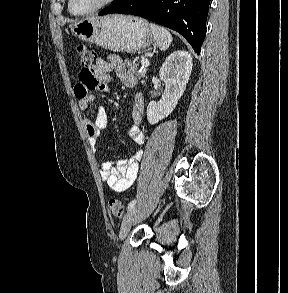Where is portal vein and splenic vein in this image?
Returning a JSON list of instances; mask_svg holds the SVG:
<instances>
[{"mask_svg":"<svg viewBox=\"0 0 288 293\" xmlns=\"http://www.w3.org/2000/svg\"><path fill=\"white\" fill-rule=\"evenodd\" d=\"M149 60L147 58H142L141 59V65L142 67H148L149 66Z\"/></svg>","mask_w":288,"mask_h":293,"instance_id":"portal-vein-and-splenic-vein-1","label":"portal vein and splenic vein"}]
</instances>
